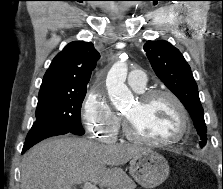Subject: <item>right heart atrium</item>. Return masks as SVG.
<instances>
[{"label": "right heart atrium", "instance_id": "d8ad5b80", "mask_svg": "<svg viewBox=\"0 0 223 189\" xmlns=\"http://www.w3.org/2000/svg\"><path fill=\"white\" fill-rule=\"evenodd\" d=\"M81 116L86 129L96 139L102 142L115 140L121 120L103 93L88 92L82 103Z\"/></svg>", "mask_w": 223, "mask_h": 189}]
</instances>
